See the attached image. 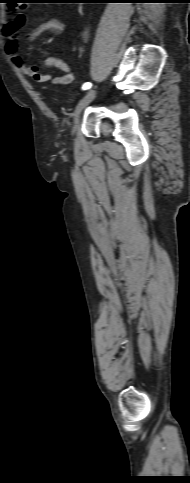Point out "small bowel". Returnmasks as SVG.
I'll use <instances>...</instances> for the list:
<instances>
[{
    "label": "small bowel",
    "instance_id": "1",
    "mask_svg": "<svg viewBox=\"0 0 190 483\" xmlns=\"http://www.w3.org/2000/svg\"><path fill=\"white\" fill-rule=\"evenodd\" d=\"M64 25L57 19H50L42 22L35 27H30L25 14H18L13 20L4 24L2 32L5 37V52L11 62L25 74L30 76L36 82H46L52 78V74H41L36 65H27L18 51V37L19 31H24L28 39L34 40L45 32H52L59 34L63 31ZM43 65L46 67H53L61 70L63 75L53 79L56 85L69 84L73 78V72L69 65L63 60L56 57H46L43 60Z\"/></svg>",
    "mask_w": 190,
    "mask_h": 483
}]
</instances>
